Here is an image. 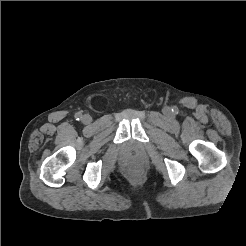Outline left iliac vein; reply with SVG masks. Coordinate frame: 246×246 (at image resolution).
<instances>
[{
  "label": "left iliac vein",
  "mask_w": 246,
  "mask_h": 246,
  "mask_svg": "<svg viewBox=\"0 0 246 246\" xmlns=\"http://www.w3.org/2000/svg\"><path fill=\"white\" fill-rule=\"evenodd\" d=\"M168 111H169V109H168V108H166V109H165V112H168Z\"/></svg>",
  "instance_id": "left-iliac-vein-1"
}]
</instances>
